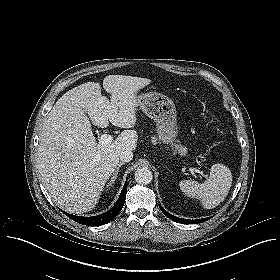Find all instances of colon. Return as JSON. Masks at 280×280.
<instances>
[{"label":"colon","instance_id":"5ec220e1","mask_svg":"<svg viewBox=\"0 0 280 280\" xmlns=\"http://www.w3.org/2000/svg\"><path fill=\"white\" fill-rule=\"evenodd\" d=\"M218 134H222V131L221 130H218V132H217Z\"/></svg>","mask_w":280,"mask_h":280}]
</instances>
